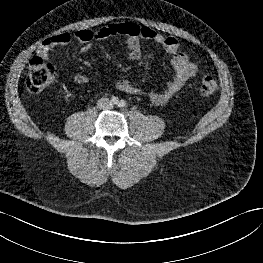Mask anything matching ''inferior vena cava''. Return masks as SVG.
<instances>
[{
  "label": "inferior vena cava",
  "mask_w": 263,
  "mask_h": 263,
  "mask_svg": "<svg viewBox=\"0 0 263 263\" xmlns=\"http://www.w3.org/2000/svg\"><path fill=\"white\" fill-rule=\"evenodd\" d=\"M97 107L102 110H107L111 109L113 107V104L108 98H101L97 102Z\"/></svg>",
  "instance_id": "602c4592"
}]
</instances>
